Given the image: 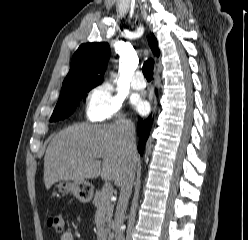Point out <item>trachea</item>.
Instances as JSON below:
<instances>
[{
    "mask_svg": "<svg viewBox=\"0 0 248 240\" xmlns=\"http://www.w3.org/2000/svg\"><path fill=\"white\" fill-rule=\"evenodd\" d=\"M153 70H154V61L149 59L144 62L142 67V72L147 79V81H151L153 78Z\"/></svg>",
    "mask_w": 248,
    "mask_h": 240,
    "instance_id": "trachea-1",
    "label": "trachea"
}]
</instances>
